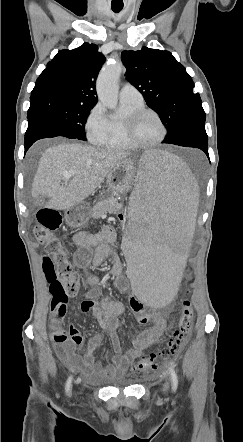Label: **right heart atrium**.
<instances>
[{"instance_id":"1","label":"right heart atrium","mask_w":243,"mask_h":442,"mask_svg":"<svg viewBox=\"0 0 243 442\" xmlns=\"http://www.w3.org/2000/svg\"><path fill=\"white\" fill-rule=\"evenodd\" d=\"M106 116L101 104L96 103L88 112L85 120V132L89 140L94 141L106 129Z\"/></svg>"}]
</instances>
